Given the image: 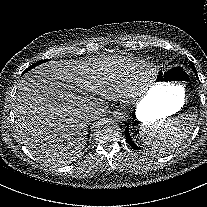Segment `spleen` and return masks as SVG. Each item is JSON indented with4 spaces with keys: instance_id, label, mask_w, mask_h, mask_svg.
<instances>
[{
    "instance_id": "spleen-1",
    "label": "spleen",
    "mask_w": 207,
    "mask_h": 207,
    "mask_svg": "<svg viewBox=\"0 0 207 207\" xmlns=\"http://www.w3.org/2000/svg\"><path fill=\"white\" fill-rule=\"evenodd\" d=\"M198 114L188 109L179 116L138 131L136 139L140 146L150 149H172L180 145L198 127Z\"/></svg>"
}]
</instances>
